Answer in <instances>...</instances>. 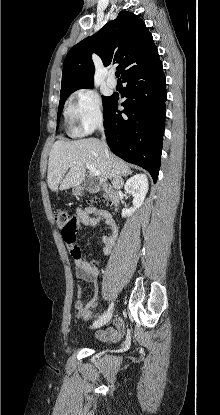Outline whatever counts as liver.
Returning <instances> with one entry per match:
<instances>
[{
    "label": "liver",
    "instance_id": "obj_1",
    "mask_svg": "<svg viewBox=\"0 0 220 415\" xmlns=\"http://www.w3.org/2000/svg\"><path fill=\"white\" fill-rule=\"evenodd\" d=\"M86 164L100 171L101 184L131 173L128 163L111 153L106 156L105 145L98 139L58 140L49 155L47 183L51 191L79 186L85 180Z\"/></svg>",
    "mask_w": 220,
    "mask_h": 415
}]
</instances>
